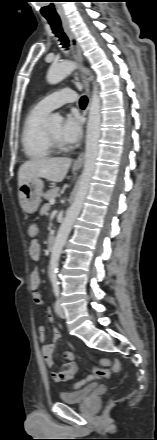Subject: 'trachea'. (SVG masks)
I'll return each instance as SVG.
<instances>
[{
  "label": "trachea",
  "instance_id": "3493384b",
  "mask_svg": "<svg viewBox=\"0 0 157 440\" xmlns=\"http://www.w3.org/2000/svg\"><path fill=\"white\" fill-rule=\"evenodd\" d=\"M53 33L56 35V37L59 38V41L61 42V45L64 48H68L69 47V40L67 38V36L65 35V33L63 32L62 26H61V21L59 18H47ZM88 99L86 96H82L80 99V107L81 108H85L87 105Z\"/></svg>",
  "mask_w": 157,
  "mask_h": 440
}]
</instances>
